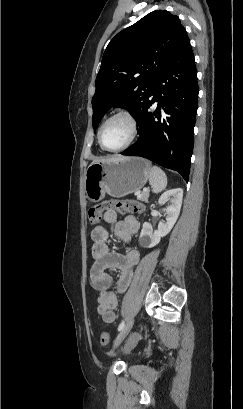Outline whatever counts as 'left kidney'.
I'll use <instances>...</instances> for the list:
<instances>
[{
    "label": "left kidney",
    "mask_w": 243,
    "mask_h": 409,
    "mask_svg": "<svg viewBox=\"0 0 243 409\" xmlns=\"http://www.w3.org/2000/svg\"><path fill=\"white\" fill-rule=\"evenodd\" d=\"M183 198V190L176 188L164 192L159 198V204L163 205L167 200L171 201V205L165 209L164 215H166V222L160 221L158 224V230H152L151 225L148 222L143 224L139 243L145 248H152L156 246L162 237L166 236L174 226L178 219L181 204Z\"/></svg>",
    "instance_id": "5707ae66"
}]
</instances>
